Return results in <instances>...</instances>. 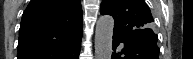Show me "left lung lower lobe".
Instances as JSON below:
<instances>
[{
  "label": "left lung lower lobe",
  "instance_id": "obj_1",
  "mask_svg": "<svg viewBox=\"0 0 193 59\" xmlns=\"http://www.w3.org/2000/svg\"><path fill=\"white\" fill-rule=\"evenodd\" d=\"M157 39L151 30L144 33L114 31L112 59H159ZM120 43L124 44V48L118 52L116 48Z\"/></svg>",
  "mask_w": 193,
  "mask_h": 59
}]
</instances>
